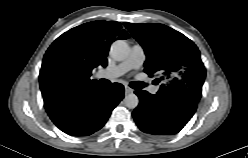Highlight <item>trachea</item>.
Returning <instances> with one entry per match:
<instances>
[{"mask_svg":"<svg viewBox=\"0 0 248 158\" xmlns=\"http://www.w3.org/2000/svg\"><path fill=\"white\" fill-rule=\"evenodd\" d=\"M147 84H145L144 82H131L130 83V86L133 88V89H142L143 87H145Z\"/></svg>","mask_w":248,"mask_h":158,"instance_id":"3493384b","label":"trachea"}]
</instances>
